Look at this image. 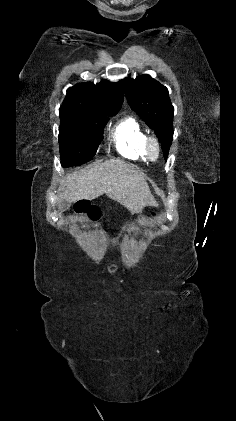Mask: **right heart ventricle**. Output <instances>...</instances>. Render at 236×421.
Here are the masks:
<instances>
[{
	"mask_svg": "<svg viewBox=\"0 0 236 421\" xmlns=\"http://www.w3.org/2000/svg\"><path fill=\"white\" fill-rule=\"evenodd\" d=\"M147 135L139 122L132 116L121 119L111 131V140L116 151L122 156L136 160L146 161L145 141Z\"/></svg>",
	"mask_w": 236,
	"mask_h": 421,
	"instance_id": "obj_1",
	"label": "right heart ventricle"
}]
</instances>
